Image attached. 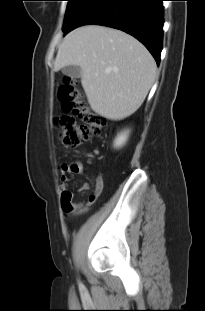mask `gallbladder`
<instances>
[{
	"instance_id": "1",
	"label": "gallbladder",
	"mask_w": 205,
	"mask_h": 311,
	"mask_svg": "<svg viewBox=\"0 0 205 311\" xmlns=\"http://www.w3.org/2000/svg\"><path fill=\"white\" fill-rule=\"evenodd\" d=\"M62 73L67 76L70 77L72 79H76V78H80L82 75V70L80 68V66L77 65H70V66H66L62 69Z\"/></svg>"
}]
</instances>
